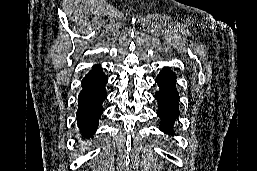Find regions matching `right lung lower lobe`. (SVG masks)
Listing matches in <instances>:
<instances>
[{
    "label": "right lung lower lobe",
    "instance_id": "1",
    "mask_svg": "<svg viewBox=\"0 0 257 171\" xmlns=\"http://www.w3.org/2000/svg\"><path fill=\"white\" fill-rule=\"evenodd\" d=\"M107 76L97 65L82 80V91L78 96L77 125L83 137L94 134L103 113L102 103L107 97Z\"/></svg>",
    "mask_w": 257,
    "mask_h": 171
}]
</instances>
